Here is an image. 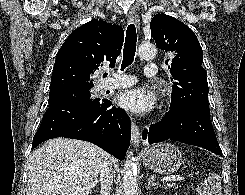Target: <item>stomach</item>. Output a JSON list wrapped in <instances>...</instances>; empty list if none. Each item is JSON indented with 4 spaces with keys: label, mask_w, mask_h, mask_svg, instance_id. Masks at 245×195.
Segmentation results:
<instances>
[{
    "label": "stomach",
    "mask_w": 245,
    "mask_h": 195,
    "mask_svg": "<svg viewBox=\"0 0 245 195\" xmlns=\"http://www.w3.org/2000/svg\"><path fill=\"white\" fill-rule=\"evenodd\" d=\"M142 159L146 167L159 174L176 172L182 165V154L171 143H160L146 149Z\"/></svg>",
    "instance_id": "stomach-1"
}]
</instances>
